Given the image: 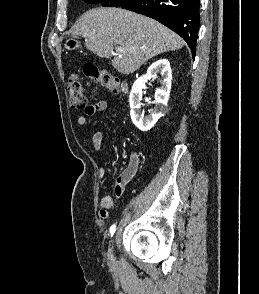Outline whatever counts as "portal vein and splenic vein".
Wrapping results in <instances>:
<instances>
[{"mask_svg":"<svg viewBox=\"0 0 259 294\" xmlns=\"http://www.w3.org/2000/svg\"><path fill=\"white\" fill-rule=\"evenodd\" d=\"M115 51H116V52H122V51H123V48L120 47V46H118V47L115 48Z\"/></svg>","mask_w":259,"mask_h":294,"instance_id":"18ae733b","label":"portal vein and splenic vein"}]
</instances>
